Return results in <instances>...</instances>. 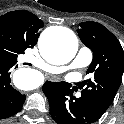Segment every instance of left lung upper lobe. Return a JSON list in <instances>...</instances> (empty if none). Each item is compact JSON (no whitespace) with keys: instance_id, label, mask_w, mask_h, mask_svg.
<instances>
[{"instance_id":"left-lung-upper-lobe-1","label":"left lung upper lobe","mask_w":124,"mask_h":124,"mask_svg":"<svg viewBox=\"0 0 124 124\" xmlns=\"http://www.w3.org/2000/svg\"><path fill=\"white\" fill-rule=\"evenodd\" d=\"M78 35L93 52L87 74L91 79L78 83L81 94L87 97L101 114L108 109L122 82L124 51L118 39L97 22L80 23Z\"/></svg>"}]
</instances>
